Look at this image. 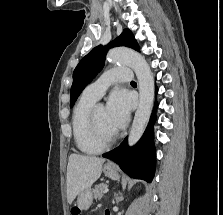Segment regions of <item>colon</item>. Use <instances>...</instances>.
I'll list each match as a JSON object with an SVG mask.
<instances>
[{
	"label": "colon",
	"mask_w": 223,
	"mask_h": 215,
	"mask_svg": "<svg viewBox=\"0 0 223 215\" xmlns=\"http://www.w3.org/2000/svg\"><path fill=\"white\" fill-rule=\"evenodd\" d=\"M78 210L77 209H73V214H77Z\"/></svg>",
	"instance_id": "5ec220e1"
}]
</instances>
